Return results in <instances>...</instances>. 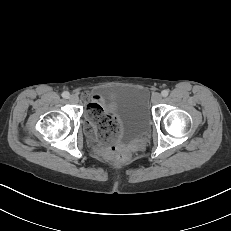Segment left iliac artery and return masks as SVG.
I'll return each mask as SVG.
<instances>
[{"instance_id": "44dca946", "label": "left iliac artery", "mask_w": 231, "mask_h": 231, "mask_svg": "<svg viewBox=\"0 0 231 231\" xmlns=\"http://www.w3.org/2000/svg\"><path fill=\"white\" fill-rule=\"evenodd\" d=\"M168 94H169V91L168 90H163L162 92H161V95L163 96V97H167L168 96Z\"/></svg>"}]
</instances>
